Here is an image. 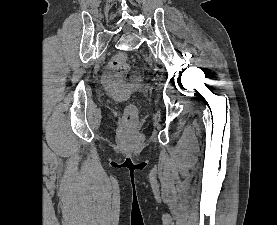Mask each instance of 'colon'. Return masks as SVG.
I'll return each mask as SVG.
<instances>
[{"label":"colon","mask_w":277,"mask_h":225,"mask_svg":"<svg viewBox=\"0 0 277 225\" xmlns=\"http://www.w3.org/2000/svg\"><path fill=\"white\" fill-rule=\"evenodd\" d=\"M109 70L117 76H122L129 73V60L128 56L124 53L114 55L109 61ZM131 79H135L134 75L130 76ZM137 108L133 104H128L123 113V120L126 128H133L137 119Z\"/></svg>","instance_id":"5ec220e1"}]
</instances>
